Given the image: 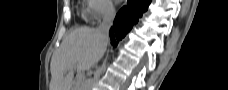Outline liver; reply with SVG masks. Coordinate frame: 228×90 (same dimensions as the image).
<instances>
[{"label": "liver", "instance_id": "obj_1", "mask_svg": "<svg viewBox=\"0 0 228 90\" xmlns=\"http://www.w3.org/2000/svg\"><path fill=\"white\" fill-rule=\"evenodd\" d=\"M108 40L97 29L81 27L72 31L52 56L49 90H71L74 68L89 70L104 55Z\"/></svg>", "mask_w": 228, "mask_h": 90}]
</instances>
